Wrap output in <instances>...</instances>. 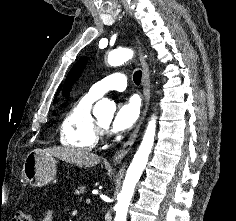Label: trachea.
Wrapping results in <instances>:
<instances>
[{
  "label": "trachea",
  "instance_id": "trachea-1",
  "mask_svg": "<svg viewBox=\"0 0 236 221\" xmlns=\"http://www.w3.org/2000/svg\"><path fill=\"white\" fill-rule=\"evenodd\" d=\"M142 72L140 70L135 71L133 75V80L136 85H139L141 82Z\"/></svg>",
  "mask_w": 236,
  "mask_h": 221
}]
</instances>
